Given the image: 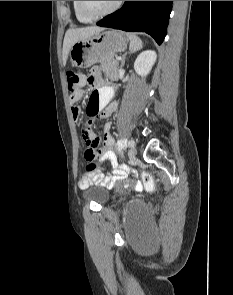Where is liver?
Instances as JSON below:
<instances>
[{
  "mask_svg": "<svg viewBox=\"0 0 233 295\" xmlns=\"http://www.w3.org/2000/svg\"><path fill=\"white\" fill-rule=\"evenodd\" d=\"M102 30L103 28L99 26H89L85 28L67 30L63 42V65H66L68 54L75 42L89 38Z\"/></svg>",
  "mask_w": 233,
  "mask_h": 295,
  "instance_id": "liver-1",
  "label": "liver"
}]
</instances>
